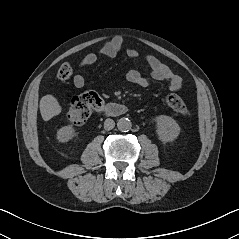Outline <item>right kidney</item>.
I'll use <instances>...</instances> for the list:
<instances>
[{"instance_id":"1","label":"right kidney","mask_w":239,"mask_h":239,"mask_svg":"<svg viewBox=\"0 0 239 239\" xmlns=\"http://www.w3.org/2000/svg\"><path fill=\"white\" fill-rule=\"evenodd\" d=\"M74 135V128L72 126H64L57 131V139L60 142H68Z\"/></svg>"}]
</instances>
